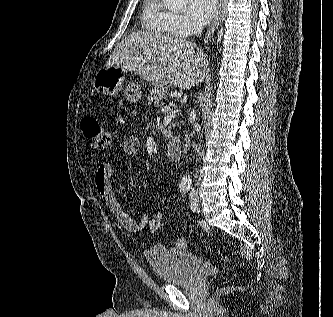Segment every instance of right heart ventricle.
<instances>
[{"mask_svg": "<svg viewBox=\"0 0 333 317\" xmlns=\"http://www.w3.org/2000/svg\"><path fill=\"white\" fill-rule=\"evenodd\" d=\"M174 14L168 10L162 0H144L141 21L143 27L156 35L172 37Z\"/></svg>", "mask_w": 333, "mask_h": 317, "instance_id": "1", "label": "right heart ventricle"}]
</instances>
